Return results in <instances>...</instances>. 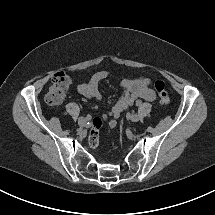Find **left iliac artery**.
Returning a JSON list of instances; mask_svg holds the SVG:
<instances>
[{
	"label": "left iliac artery",
	"mask_w": 215,
	"mask_h": 215,
	"mask_svg": "<svg viewBox=\"0 0 215 215\" xmlns=\"http://www.w3.org/2000/svg\"><path fill=\"white\" fill-rule=\"evenodd\" d=\"M140 104H141V102H140V101H137V102H136V105H137V106H139Z\"/></svg>",
	"instance_id": "1"
}]
</instances>
